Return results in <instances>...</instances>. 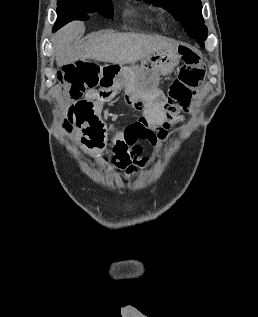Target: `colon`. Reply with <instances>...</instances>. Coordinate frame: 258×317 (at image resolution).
Listing matches in <instances>:
<instances>
[{
  "label": "colon",
  "instance_id": "1",
  "mask_svg": "<svg viewBox=\"0 0 258 317\" xmlns=\"http://www.w3.org/2000/svg\"><path fill=\"white\" fill-rule=\"evenodd\" d=\"M183 66L178 78L170 86L165 110L167 112V126L177 124L182 113L188 112L192 96L203 81L205 65L198 50L191 47L181 49ZM67 95L77 101L82 100L86 91L110 83H118L122 86L127 99L135 106H145V92L130 77L129 72L115 64H100L91 59L80 58L67 63L58 75ZM74 122L66 117L63 127L66 132H71Z\"/></svg>",
  "mask_w": 258,
  "mask_h": 317
}]
</instances>
